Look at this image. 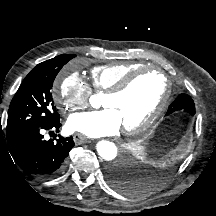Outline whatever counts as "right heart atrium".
Wrapping results in <instances>:
<instances>
[{
  "label": "right heart atrium",
  "instance_id": "right-heart-atrium-1",
  "mask_svg": "<svg viewBox=\"0 0 216 216\" xmlns=\"http://www.w3.org/2000/svg\"><path fill=\"white\" fill-rule=\"evenodd\" d=\"M92 91L76 73L62 79L53 92V99L61 113L84 109L88 106Z\"/></svg>",
  "mask_w": 216,
  "mask_h": 216
}]
</instances>
